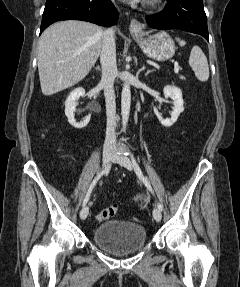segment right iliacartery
<instances>
[{
    "label": "right iliac artery",
    "mask_w": 240,
    "mask_h": 287,
    "mask_svg": "<svg viewBox=\"0 0 240 287\" xmlns=\"http://www.w3.org/2000/svg\"><path fill=\"white\" fill-rule=\"evenodd\" d=\"M110 167H111V165L109 164L101 173H99V174L94 178V180H93V182L91 183V185H90V187H89V189H88V192H87V194H86V196H85V198H84L83 205H82L83 207L87 204V202H88V200H89V198H90V195H91V193H92V190H93V188L95 187V185L97 184V182L99 181V179L102 177L103 174L109 172Z\"/></svg>",
    "instance_id": "82829eb1"
}]
</instances>
